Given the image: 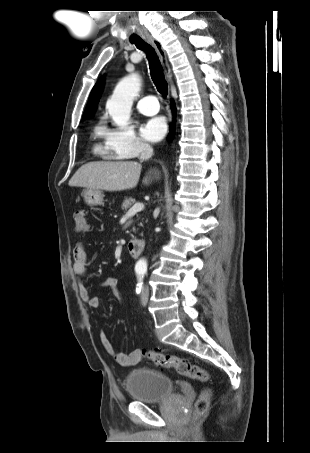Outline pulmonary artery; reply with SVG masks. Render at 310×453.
<instances>
[{
    "label": "pulmonary artery",
    "instance_id": "pulmonary-artery-1",
    "mask_svg": "<svg viewBox=\"0 0 310 453\" xmlns=\"http://www.w3.org/2000/svg\"><path fill=\"white\" fill-rule=\"evenodd\" d=\"M137 109L144 115H154L159 111V103L155 96H145L138 101Z\"/></svg>",
    "mask_w": 310,
    "mask_h": 453
}]
</instances>
